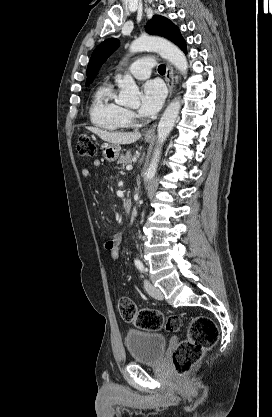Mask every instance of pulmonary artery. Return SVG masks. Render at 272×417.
<instances>
[{
  "label": "pulmonary artery",
  "instance_id": "pulmonary-artery-1",
  "mask_svg": "<svg viewBox=\"0 0 272 417\" xmlns=\"http://www.w3.org/2000/svg\"><path fill=\"white\" fill-rule=\"evenodd\" d=\"M155 63L152 57L145 56L136 60L130 67L129 72L136 79L143 80L150 76L151 69L154 67Z\"/></svg>",
  "mask_w": 272,
  "mask_h": 417
}]
</instances>
